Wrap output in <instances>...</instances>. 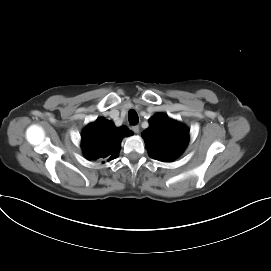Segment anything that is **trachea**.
Listing matches in <instances>:
<instances>
[{
    "instance_id": "obj_1",
    "label": "trachea",
    "mask_w": 271,
    "mask_h": 271,
    "mask_svg": "<svg viewBox=\"0 0 271 271\" xmlns=\"http://www.w3.org/2000/svg\"><path fill=\"white\" fill-rule=\"evenodd\" d=\"M128 119L130 124L136 125L139 122L137 113L134 110H130L128 113Z\"/></svg>"
}]
</instances>
